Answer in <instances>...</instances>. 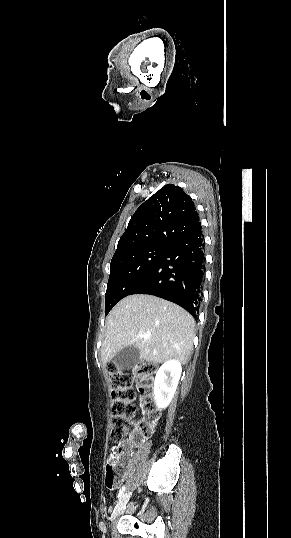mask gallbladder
<instances>
[{
    "label": "gallbladder",
    "mask_w": 291,
    "mask_h": 538,
    "mask_svg": "<svg viewBox=\"0 0 291 538\" xmlns=\"http://www.w3.org/2000/svg\"><path fill=\"white\" fill-rule=\"evenodd\" d=\"M114 364L122 370H130L140 361L139 349L135 346H127L114 357Z\"/></svg>",
    "instance_id": "bac80fb5"
}]
</instances>
